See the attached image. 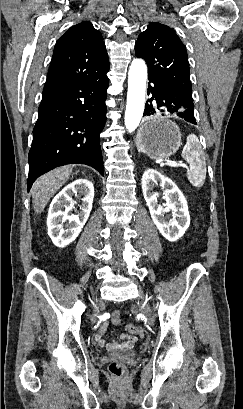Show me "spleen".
I'll list each match as a JSON object with an SVG mask.
<instances>
[{
	"instance_id": "3e777b00",
	"label": "spleen",
	"mask_w": 243,
	"mask_h": 409,
	"mask_svg": "<svg viewBox=\"0 0 243 409\" xmlns=\"http://www.w3.org/2000/svg\"><path fill=\"white\" fill-rule=\"evenodd\" d=\"M182 157L189 163L187 178L195 187H201L206 178V164L201 157V145L196 135L187 137L186 145L182 151Z\"/></svg>"
}]
</instances>
